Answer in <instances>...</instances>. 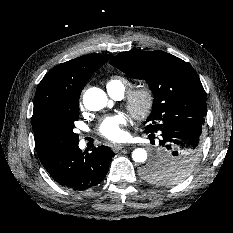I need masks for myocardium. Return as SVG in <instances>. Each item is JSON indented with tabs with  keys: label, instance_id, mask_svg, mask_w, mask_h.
Segmentation results:
<instances>
[{
	"label": "myocardium",
	"instance_id": "myocardium-1",
	"mask_svg": "<svg viewBox=\"0 0 233 233\" xmlns=\"http://www.w3.org/2000/svg\"><path fill=\"white\" fill-rule=\"evenodd\" d=\"M156 104V95L149 86H138L130 89L125 98V107L129 114L137 121L148 119Z\"/></svg>",
	"mask_w": 233,
	"mask_h": 233
}]
</instances>
